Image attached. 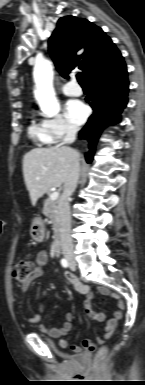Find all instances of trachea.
I'll return each mask as SVG.
<instances>
[{"label": "trachea", "mask_w": 145, "mask_h": 385, "mask_svg": "<svg viewBox=\"0 0 145 385\" xmlns=\"http://www.w3.org/2000/svg\"><path fill=\"white\" fill-rule=\"evenodd\" d=\"M76 78H77V81L79 82L80 85H84L85 84V82H84V80H83V78H82V76L80 74H77Z\"/></svg>", "instance_id": "trachea-1"}]
</instances>
